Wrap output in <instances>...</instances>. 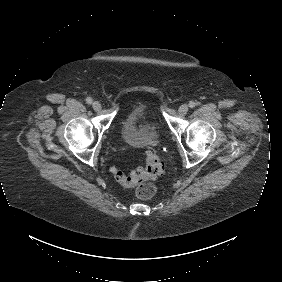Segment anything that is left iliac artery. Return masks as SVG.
<instances>
[{
	"label": "left iliac artery",
	"instance_id": "left-iliac-artery-1",
	"mask_svg": "<svg viewBox=\"0 0 282 282\" xmlns=\"http://www.w3.org/2000/svg\"><path fill=\"white\" fill-rule=\"evenodd\" d=\"M189 107H190V108H193V107H195V102H193V101H190V102H189Z\"/></svg>",
	"mask_w": 282,
	"mask_h": 282
}]
</instances>
